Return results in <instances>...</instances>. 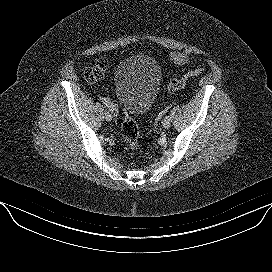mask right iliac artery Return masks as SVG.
Wrapping results in <instances>:
<instances>
[{"label": "right iliac artery", "mask_w": 272, "mask_h": 272, "mask_svg": "<svg viewBox=\"0 0 272 272\" xmlns=\"http://www.w3.org/2000/svg\"><path fill=\"white\" fill-rule=\"evenodd\" d=\"M102 113H103V115H105V116H106V115H108V113H109V112H108V110H106V109H105V110H103V112H102Z\"/></svg>", "instance_id": "1"}]
</instances>
